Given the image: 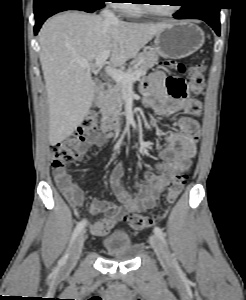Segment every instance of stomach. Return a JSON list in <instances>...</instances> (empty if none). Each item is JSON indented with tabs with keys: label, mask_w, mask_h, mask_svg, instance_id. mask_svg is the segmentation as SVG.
<instances>
[{
	"label": "stomach",
	"mask_w": 246,
	"mask_h": 300,
	"mask_svg": "<svg viewBox=\"0 0 246 300\" xmlns=\"http://www.w3.org/2000/svg\"><path fill=\"white\" fill-rule=\"evenodd\" d=\"M205 42L202 29L189 21L168 24L156 34V51L166 58L181 59L198 51Z\"/></svg>",
	"instance_id": "1"
}]
</instances>
